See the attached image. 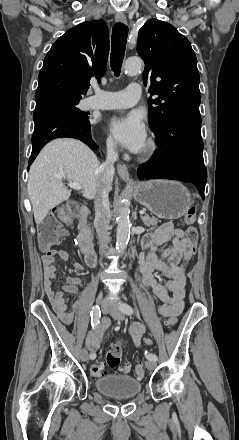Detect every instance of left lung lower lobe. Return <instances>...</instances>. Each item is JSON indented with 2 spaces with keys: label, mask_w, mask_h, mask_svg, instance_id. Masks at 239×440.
Masks as SVG:
<instances>
[{
  "label": "left lung lower lobe",
  "mask_w": 239,
  "mask_h": 440,
  "mask_svg": "<svg viewBox=\"0 0 239 440\" xmlns=\"http://www.w3.org/2000/svg\"><path fill=\"white\" fill-rule=\"evenodd\" d=\"M199 113L183 112L167 119L154 132L158 150L151 162L138 168L140 178H167L194 184L204 199L207 170Z\"/></svg>",
  "instance_id": "obj_1"
}]
</instances>
